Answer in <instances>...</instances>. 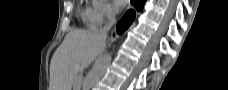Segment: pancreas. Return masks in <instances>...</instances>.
<instances>
[{
  "instance_id": "cf45deb5",
  "label": "pancreas",
  "mask_w": 228,
  "mask_h": 90,
  "mask_svg": "<svg viewBox=\"0 0 228 90\" xmlns=\"http://www.w3.org/2000/svg\"><path fill=\"white\" fill-rule=\"evenodd\" d=\"M81 83H82V78L81 77H78L74 83V87L77 89L81 86Z\"/></svg>"
}]
</instances>
